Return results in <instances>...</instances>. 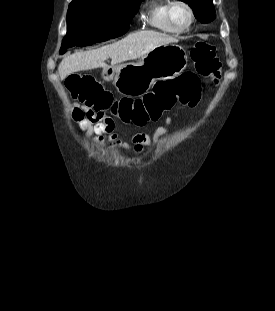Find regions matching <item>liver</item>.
<instances>
[{"label": "liver", "instance_id": "1", "mask_svg": "<svg viewBox=\"0 0 275 311\" xmlns=\"http://www.w3.org/2000/svg\"><path fill=\"white\" fill-rule=\"evenodd\" d=\"M176 42V39L156 31H138L131 33L120 41L94 49L78 52L65 57L58 67L61 79L68 75L95 68H108L105 60L111 58V65L135 60L158 46Z\"/></svg>", "mask_w": 275, "mask_h": 311}]
</instances>
